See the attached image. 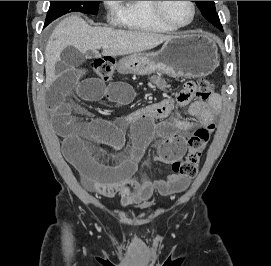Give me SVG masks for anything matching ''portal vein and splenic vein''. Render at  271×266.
<instances>
[{"label": "portal vein and splenic vein", "instance_id": "portal-vein-and-splenic-vein-1", "mask_svg": "<svg viewBox=\"0 0 271 266\" xmlns=\"http://www.w3.org/2000/svg\"><path fill=\"white\" fill-rule=\"evenodd\" d=\"M100 47L105 48V46H103V45H102V46H100Z\"/></svg>", "mask_w": 271, "mask_h": 266}]
</instances>
